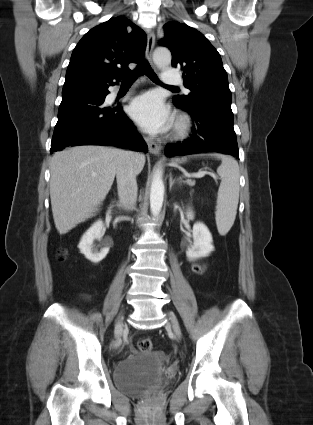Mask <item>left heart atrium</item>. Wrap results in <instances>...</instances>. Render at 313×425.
Listing matches in <instances>:
<instances>
[{
  "label": "left heart atrium",
  "instance_id": "obj_1",
  "mask_svg": "<svg viewBox=\"0 0 313 425\" xmlns=\"http://www.w3.org/2000/svg\"><path fill=\"white\" fill-rule=\"evenodd\" d=\"M129 113L144 130L149 132L164 131L171 122L169 109L162 98L154 92L135 98L130 105Z\"/></svg>",
  "mask_w": 313,
  "mask_h": 425
}]
</instances>
